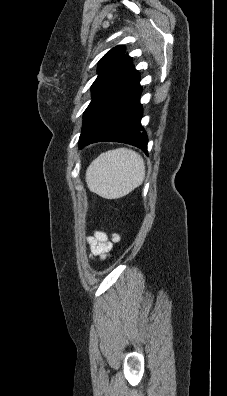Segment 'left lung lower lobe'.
Wrapping results in <instances>:
<instances>
[{
    "label": "left lung lower lobe",
    "instance_id": "left-lung-lower-lobe-1",
    "mask_svg": "<svg viewBox=\"0 0 227 396\" xmlns=\"http://www.w3.org/2000/svg\"><path fill=\"white\" fill-rule=\"evenodd\" d=\"M139 72L107 94L92 110L79 138V148L99 142H122L147 153V134L141 126Z\"/></svg>",
    "mask_w": 227,
    "mask_h": 396
}]
</instances>
